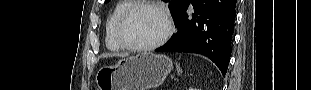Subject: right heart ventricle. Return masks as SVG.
Here are the masks:
<instances>
[{
    "label": "right heart ventricle",
    "mask_w": 311,
    "mask_h": 90,
    "mask_svg": "<svg viewBox=\"0 0 311 90\" xmlns=\"http://www.w3.org/2000/svg\"><path fill=\"white\" fill-rule=\"evenodd\" d=\"M133 4L135 3L129 0L120 1L114 6L109 15L105 26V43L109 50L118 51L122 49L116 39L115 28L119 17Z\"/></svg>",
    "instance_id": "obj_1"
}]
</instances>
